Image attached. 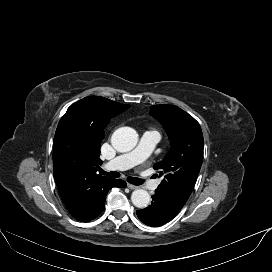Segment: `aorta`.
Returning <instances> with one entry per match:
<instances>
[{
	"label": "aorta",
	"mask_w": 272,
	"mask_h": 272,
	"mask_svg": "<svg viewBox=\"0 0 272 272\" xmlns=\"http://www.w3.org/2000/svg\"><path fill=\"white\" fill-rule=\"evenodd\" d=\"M138 141L137 132L131 127H121L114 131L111 137L112 146L118 152L132 150ZM131 201L137 208H146L150 202V195L144 189H136L132 192Z\"/></svg>",
	"instance_id": "1"
}]
</instances>
